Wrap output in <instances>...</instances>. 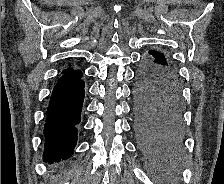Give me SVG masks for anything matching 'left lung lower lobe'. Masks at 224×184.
I'll list each match as a JSON object with an SVG mask.
<instances>
[{
    "instance_id": "obj_1",
    "label": "left lung lower lobe",
    "mask_w": 224,
    "mask_h": 184,
    "mask_svg": "<svg viewBox=\"0 0 224 184\" xmlns=\"http://www.w3.org/2000/svg\"><path fill=\"white\" fill-rule=\"evenodd\" d=\"M182 95L178 75L153 50L138 67L134 88L135 131L141 144L157 151L182 144Z\"/></svg>"
}]
</instances>
